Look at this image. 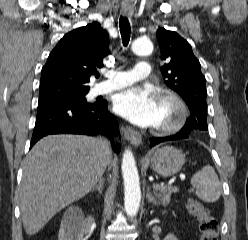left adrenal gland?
Here are the masks:
<instances>
[{"label": "left adrenal gland", "mask_w": 248, "mask_h": 240, "mask_svg": "<svg viewBox=\"0 0 248 240\" xmlns=\"http://www.w3.org/2000/svg\"><path fill=\"white\" fill-rule=\"evenodd\" d=\"M146 198H147L148 202H151L155 205H159V201H157L156 198L154 197V195L150 192V187H147Z\"/></svg>", "instance_id": "1"}]
</instances>
